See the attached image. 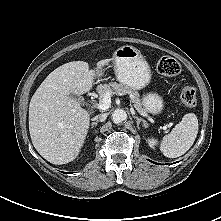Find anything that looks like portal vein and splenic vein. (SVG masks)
Masks as SVG:
<instances>
[{
    "label": "portal vein and splenic vein",
    "mask_w": 221,
    "mask_h": 221,
    "mask_svg": "<svg viewBox=\"0 0 221 221\" xmlns=\"http://www.w3.org/2000/svg\"><path fill=\"white\" fill-rule=\"evenodd\" d=\"M110 104H111V94L109 92H107L105 94V96L102 98V100L97 103L95 105V107L99 110H107L109 107H110ZM139 113L142 115V116H146L147 117V114L144 113V112H141L139 111ZM173 125V123H169L167 125V127H171Z\"/></svg>",
    "instance_id": "18ae733b"
}]
</instances>
